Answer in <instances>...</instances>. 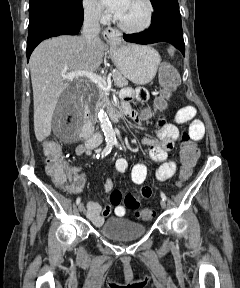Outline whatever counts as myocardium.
Listing matches in <instances>:
<instances>
[{
  "mask_svg": "<svg viewBox=\"0 0 240 288\" xmlns=\"http://www.w3.org/2000/svg\"><path fill=\"white\" fill-rule=\"evenodd\" d=\"M144 1L148 7V17L145 24L140 27H129L125 25L119 18H117L116 22L121 30L127 33H141L148 30L151 27L154 19V5L152 3V0H144Z\"/></svg>",
  "mask_w": 240,
  "mask_h": 288,
  "instance_id": "myocardium-1",
  "label": "myocardium"
}]
</instances>
